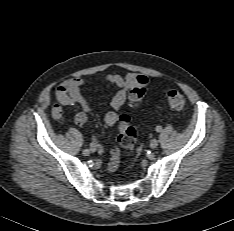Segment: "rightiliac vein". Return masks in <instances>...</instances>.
<instances>
[{"mask_svg": "<svg viewBox=\"0 0 234 231\" xmlns=\"http://www.w3.org/2000/svg\"><path fill=\"white\" fill-rule=\"evenodd\" d=\"M90 151H91V150H89V149H85V150H83V154H84L85 156H87V155L90 154Z\"/></svg>", "mask_w": 234, "mask_h": 231, "instance_id": "63e3f726", "label": "right iliac vein"}]
</instances>
